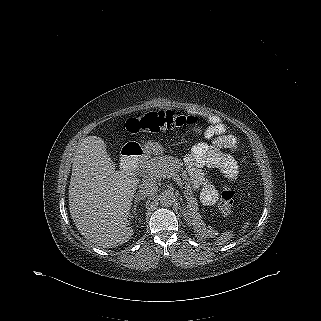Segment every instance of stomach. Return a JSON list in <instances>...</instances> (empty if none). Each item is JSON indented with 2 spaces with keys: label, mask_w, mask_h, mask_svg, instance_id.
Here are the masks:
<instances>
[{
  "label": "stomach",
  "mask_w": 321,
  "mask_h": 321,
  "mask_svg": "<svg viewBox=\"0 0 321 321\" xmlns=\"http://www.w3.org/2000/svg\"><path fill=\"white\" fill-rule=\"evenodd\" d=\"M142 149L146 154L157 153L160 151V146L154 142H147L142 144Z\"/></svg>",
  "instance_id": "obj_1"
}]
</instances>
